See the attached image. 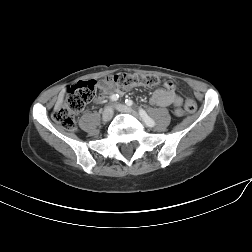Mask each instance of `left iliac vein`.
<instances>
[{
  "label": "left iliac vein",
  "instance_id": "left-iliac-vein-1",
  "mask_svg": "<svg viewBox=\"0 0 252 252\" xmlns=\"http://www.w3.org/2000/svg\"><path fill=\"white\" fill-rule=\"evenodd\" d=\"M116 109H117L119 112H122V113L132 114V115L135 116V117L138 116V114H137L133 109H131L130 107H127V106L124 105V104H117V105H116Z\"/></svg>",
  "mask_w": 252,
  "mask_h": 252
}]
</instances>
